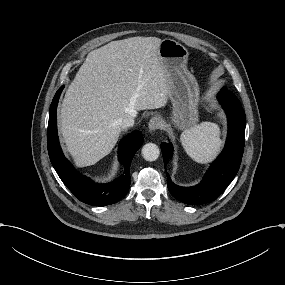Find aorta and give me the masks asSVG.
Returning <instances> with one entry per match:
<instances>
[{"label": "aorta", "instance_id": "obj_1", "mask_svg": "<svg viewBox=\"0 0 285 285\" xmlns=\"http://www.w3.org/2000/svg\"><path fill=\"white\" fill-rule=\"evenodd\" d=\"M160 155L158 146L154 143H147L142 148V156L146 161H155Z\"/></svg>", "mask_w": 285, "mask_h": 285}]
</instances>
